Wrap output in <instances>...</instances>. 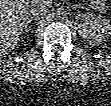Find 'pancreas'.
I'll use <instances>...</instances> for the list:
<instances>
[{"mask_svg":"<svg viewBox=\"0 0 111 106\" xmlns=\"http://www.w3.org/2000/svg\"><path fill=\"white\" fill-rule=\"evenodd\" d=\"M89 6L101 13H105L108 10L105 0H91Z\"/></svg>","mask_w":111,"mask_h":106,"instance_id":"obj_1","label":"pancreas"}]
</instances>
